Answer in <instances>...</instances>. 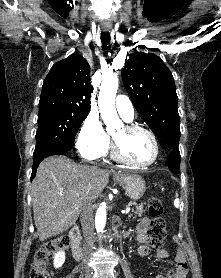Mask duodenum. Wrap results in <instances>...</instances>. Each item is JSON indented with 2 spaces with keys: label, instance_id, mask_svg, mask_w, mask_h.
Here are the masks:
<instances>
[{
  "label": "duodenum",
  "instance_id": "1",
  "mask_svg": "<svg viewBox=\"0 0 221 278\" xmlns=\"http://www.w3.org/2000/svg\"><path fill=\"white\" fill-rule=\"evenodd\" d=\"M116 231V227L114 228ZM70 241H71V252L74 259L79 260L82 255V247H81V232L78 227H74L71 229L69 233Z\"/></svg>",
  "mask_w": 221,
  "mask_h": 278
}]
</instances>
